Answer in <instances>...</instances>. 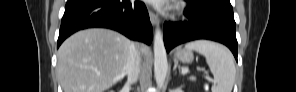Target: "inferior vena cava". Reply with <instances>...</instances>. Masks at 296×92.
Wrapping results in <instances>:
<instances>
[{"mask_svg": "<svg viewBox=\"0 0 296 92\" xmlns=\"http://www.w3.org/2000/svg\"><path fill=\"white\" fill-rule=\"evenodd\" d=\"M140 55L136 49L135 43H131L130 53L126 63V74L128 83H135L140 72Z\"/></svg>", "mask_w": 296, "mask_h": 92, "instance_id": "602c4592", "label": "inferior vena cava"}]
</instances>
